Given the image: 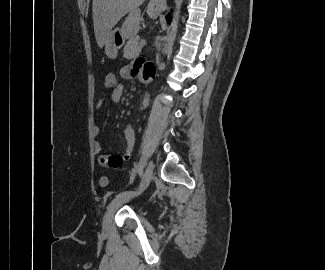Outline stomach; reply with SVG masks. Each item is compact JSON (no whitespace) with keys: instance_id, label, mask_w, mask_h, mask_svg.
<instances>
[{"instance_id":"0dacf381","label":"stomach","mask_w":325,"mask_h":270,"mask_svg":"<svg viewBox=\"0 0 325 270\" xmlns=\"http://www.w3.org/2000/svg\"><path fill=\"white\" fill-rule=\"evenodd\" d=\"M148 15L155 19L158 17L159 12L157 10L148 9ZM125 35L123 34V32L121 30H114L111 31L108 40L105 43V53L106 55L111 58L114 59L117 56L118 50L123 46V44L125 43Z\"/></svg>"}]
</instances>
